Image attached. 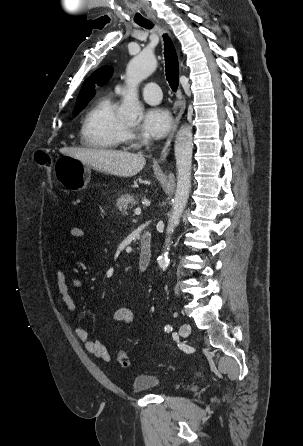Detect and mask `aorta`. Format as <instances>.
<instances>
[{
    "mask_svg": "<svg viewBox=\"0 0 303 446\" xmlns=\"http://www.w3.org/2000/svg\"><path fill=\"white\" fill-rule=\"evenodd\" d=\"M157 67L154 55L149 51H142L135 56L126 69L127 93L123 98L118 111L121 118L135 121L142 112V106L138 100L137 87L141 81L151 75ZM192 127L183 125L176 134L174 153L177 168V186L175 197L172 201V211L169 214L167 236L164 252L158 257V265L164 271L169 264L168 250L171 246V235L179 224L180 218L187 204L191 189L192 166Z\"/></svg>",
    "mask_w": 303,
    "mask_h": 446,
    "instance_id": "obj_1",
    "label": "aorta"
}]
</instances>
